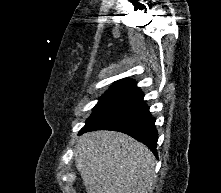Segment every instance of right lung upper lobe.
I'll return each instance as SVG.
<instances>
[{
  "instance_id": "1",
  "label": "right lung upper lobe",
  "mask_w": 221,
  "mask_h": 193,
  "mask_svg": "<svg viewBox=\"0 0 221 193\" xmlns=\"http://www.w3.org/2000/svg\"><path fill=\"white\" fill-rule=\"evenodd\" d=\"M114 84L136 86V82L134 80H131V79H121L119 81H116Z\"/></svg>"
}]
</instances>
